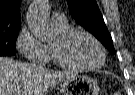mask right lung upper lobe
<instances>
[{"label": "right lung upper lobe", "mask_w": 135, "mask_h": 95, "mask_svg": "<svg viewBox=\"0 0 135 95\" xmlns=\"http://www.w3.org/2000/svg\"><path fill=\"white\" fill-rule=\"evenodd\" d=\"M20 0H0V33L20 29Z\"/></svg>", "instance_id": "obj_1"}]
</instances>
